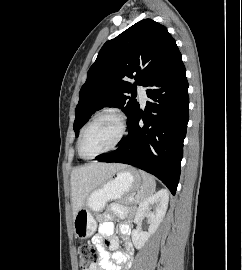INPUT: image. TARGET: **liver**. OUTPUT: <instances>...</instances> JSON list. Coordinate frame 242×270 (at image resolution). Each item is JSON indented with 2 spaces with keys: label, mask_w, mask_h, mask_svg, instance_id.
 I'll use <instances>...</instances> for the list:
<instances>
[{
  "label": "liver",
  "mask_w": 242,
  "mask_h": 270,
  "mask_svg": "<svg viewBox=\"0 0 242 270\" xmlns=\"http://www.w3.org/2000/svg\"><path fill=\"white\" fill-rule=\"evenodd\" d=\"M123 164L93 162L76 168L71 173V200L73 216L81 210L89 194L100 187L116 172L125 168Z\"/></svg>",
  "instance_id": "1"
}]
</instances>
